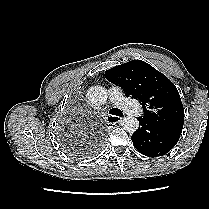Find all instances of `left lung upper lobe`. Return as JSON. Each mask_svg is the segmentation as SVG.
<instances>
[{"label":"left lung upper lobe","instance_id":"1","mask_svg":"<svg viewBox=\"0 0 209 209\" xmlns=\"http://www.w3.org/2000/svg\"><path fill=\"white\" fill-rule=\"evenodd\" d=\"M111 83L142 103L141 118L157 126L182 132L184 109L176 86L148 63L132 60L105 72Z\"/></svg>","mask_w":209,"mask_h":209}]
</instances>
